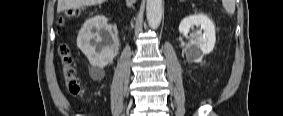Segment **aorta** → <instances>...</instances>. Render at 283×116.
<instances>
[{"label":"aorta","mask_w":283,"mask_h":116,"mask_svg":"<svg viewBox=\"0 0 283 116\" xmlns=\"http://www.w3.org/2000/svg\"><path fill=\"white\" fill-rule=\"evenodd\" d=\"M146 15L149 27L157 29L162 19V0H147Z\"/></svg>","instance_id":"1"}]
</instances>
